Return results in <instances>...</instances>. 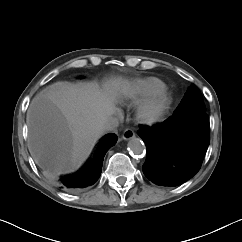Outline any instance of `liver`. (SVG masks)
<instances>
[{
	"label": "liver",
	"mask_w": 242,
	"mask_h": 242,
	"mask_svg": "<svg viewBox=\"0 0 242 242\" xmlns=\"http://www.w3.org/2000/svg\"><path fill=\"white\" fill-rule=\"evenodd\" d=\"M125 81L56 82L32 100L27 112L29 150L35 161L55 174L78 169L103 133Z\"/></svg>",
	"instance_id": "6515ba94"
}]
</instances>
